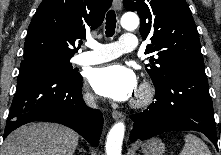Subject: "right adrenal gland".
<instances>
[{
    "label": "right adrenal gland",
    "instance_id": "obj_1",
    "mask_svg": "<svg viewBox=\"0 0 221 155\" xmlns=\"http://www.w3.org/2000/svg\"><path fill=\"white\" fill-rule=\"evenodd\" d=\"M83 151L86 154L85 149L82 147L81 149H79V152Z\"/></svg>",
    "mask_w": 221,
    "mask_h": 155
}]
</instances>
